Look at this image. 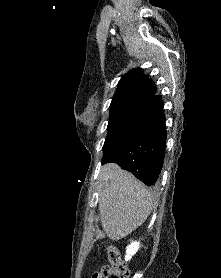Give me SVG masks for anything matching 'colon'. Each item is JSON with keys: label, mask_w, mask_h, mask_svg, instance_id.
<instances>
[{"label": "colon", "mask_w": 221, "mask_h": 278, "mask_svg": "<svg viewBox=\"0 0 221 278\" xmlns=\"http://www.w3.org/2000/svg\"><path fill=\"white\" fill-rule=\"evenodd\" d=\"M109 265L104 266L92 278H129L128 269L116 247L108 248Z\"/></svg>", "instance_id": "colon-1"}]
</instances>
